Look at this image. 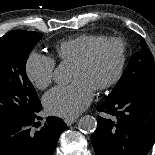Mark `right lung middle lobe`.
I'll return each mask as SVG.
<instances>
[{
    "label": "right lung middle lobe",
    "instance_id": "right-lung-middle-lobe-1",
    "mask_svg": "<svg viewBox=\"0 0 155 155\" xmlns=\"http://www.w3.org/2000/svg\"><path fill=\"white\" fill-rule=\"evenodd\" d=\"M41 33L14 30L0 38V122H22L42 108L26 75V61Z\"/></svg>",
    "mask_w": 155,
    "mask_h": 155
}]
</instances>
